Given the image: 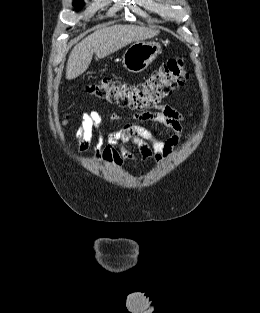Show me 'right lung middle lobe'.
Instances as JSON below:
<instances>
[{"instance_id": "obj_1", "label": "right lung middle lobe", "mask_w": 260, "mask_h": 313, "mask_svg": "<svg viewBox=\"0 0 260 313\" xmlns=\"http://www.w3.org/2000/svg\"><path fill=\"white\" fill-rule=\"evenodd\" d=\"M74 7L76 10H79L82 8V6L84 5V2L82 0H77L73 3Z\"/></svg>"}]
</instances>
